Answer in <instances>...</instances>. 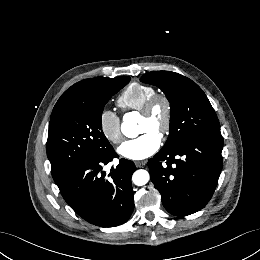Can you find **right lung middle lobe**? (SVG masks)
<instances>
[{"label": "right lung middle lobe", "mask_w": 260, "mask_h": 260, "mask_svg": "<svg viewBox=\"0 0 260 260\" xmlns=\"http://www.w3.org/2000/svg\"><path fill=\"white\" fill-rule=\"evenodd\" d=\"M129 81L130 77L126 76L105 82L93 89L84 101L51 115L47 156L52 176L77 161L97 159L113 150L102 131L101 116L104 105Z\"/></svg>", "instance_id": "dd1d6c3e"}]
</instances>
